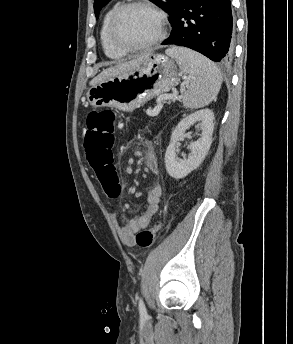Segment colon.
Returning <instances> with one entry per match:
<instances>
[{"mask_svg":"<svg viewBox=\"0 0 293 344\" xmlns=\"http://www.w3.org/2000/svg\"><path fill=\"white\" fill-rule=\"evenodd\" d=\"M116 120L117 116L112 110L103 109L89 112L86 118L87 131L83 143L86 157L96 172L104 192L110 198L117 197L121 191L117 177L110 179L105 173L113 163L112 148L115 142ZM160 227V224H156L149 229L139 231L135 239L136 245L140 249L150 248L155 242Z\"/></svg>","mask_w":293,"mask_h":344,"instance_id":"colon-1","label":"colon"}]
</instances>
